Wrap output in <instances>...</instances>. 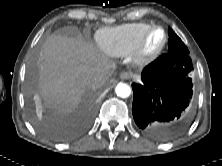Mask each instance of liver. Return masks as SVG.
Returning <instances> with one entry per match:
<instances>
[{"label":"liver","instance_id":"liver-1","mask_svg":"<svg viewBox=\"0 0 222 166\" xmlns=\"http://www.w3.org/2000/svg\"><path fill=\"white\" fill-rule=\"evenodd\" d=\"M112 61L81 37L51 36L43 46L40 64V90L44 105L58 114L76 109L87 89L106 83ZM103 77L100 85L88 83L91 75Z\"/></svg>","mask_w":222,"mask_h":166}]
</instances>
